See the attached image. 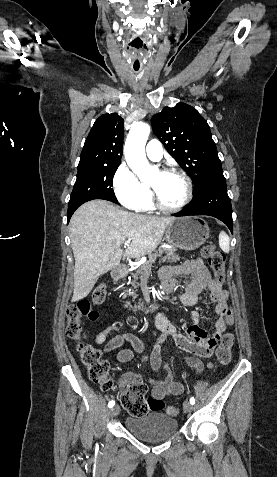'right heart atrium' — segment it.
I'll return each mask as SVG.
<instances>
[{
	"instance_id": "right-heart-atrium-1",
	"label": "right heart atrium",
	"mask_w": 277,
	"mask_h": 477,
	"mask_svg": "<svg viewBox=\"0 0 277 477\" xmlns=\"http://www.w3.org/2000/svg\"><path fill=\"white\" fill-rule=\"evenodd\" d=\"M113 188L118 201L132 210H141L151 197L149 189L125 163L120 164L114 173Z\"/></svg>"
}]
</instances>
